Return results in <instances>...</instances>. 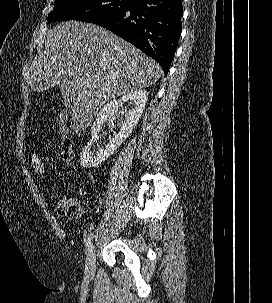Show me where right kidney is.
Segmentation results:
<instances>
[{"label":"right kidney","mask_w":272,"mask_h":303,"mask_svg":"<svg viewBox=\"0 0 272 303\" xmlns=\"http://www.w3.org/2000/svg\"><path fill=\"white\" fill-rule=\"evenodd\" d=\"M147 100L148 93L145 90H137L122 96L120 100L107 103L99 111L91 127V139L82 151L80 165L84 168H92L106 161L135 128L144 111ZM127 101H131L134 104V109L129 110L125 115V120L121 124L120 131L115 134L114 138L103 149H99L96 155H93L91 147L96 143L103 124L107 121H112L119 106Z\"/></svg>","instance_id":"right-kidney-1"}]
</instances>
